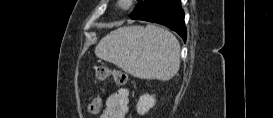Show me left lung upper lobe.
Here are the masks:
<instances>
[{"label": "left lung upper lobe", "instance_id": "left-lung-upper-lobe-1", "mask_svg": "<svg viewBox=\"0 0 273 118\" xmlns=\"http://www.w3.org/2000/svg\"><path fill=\"white\" fill-rule=\"evenodd\" d=\"M164 2L165 0H138V4L130 14V18L141 20L155 12Z\"/></svg>", "mask_w": 273, "mask_h": 118}]
</instances>
